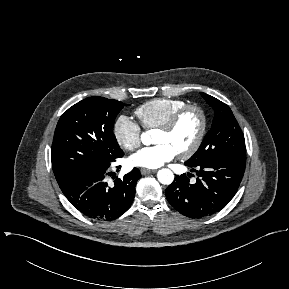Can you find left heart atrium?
Instances as JSON below:
<instances>
[{
  "label": "left heart atrium",
  "instance_id": "obj_1",
  "mask_svg": "<svg viewBox=\"0 0 289 289\" xmlns=\"http://www.w3.org/2000/svg\"><path fill=\"white\" fill-rule=\"evenodd\" d=\"M177 152L168 144L161 143L144 147L129 157V163L135 167L154 169L169 162Z\"/></svg>",
  "mask_w": 289,
  "mask_h": 289
}]
</instances>
